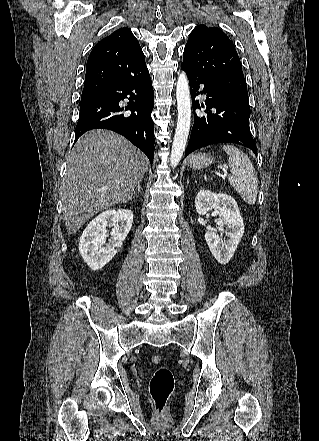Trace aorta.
Here are the masks:
<instances>
[{
    "label": "aorta",
    "instance_id": "762f6f07",
    "mask_svg": "<svg viewBox=\"0 0 319 441\" xmlns=\"http://www.w3.org/2000/svg\"><path fill=\"white\" fill-rule=\"evenodd\" d=\"M176 97L178 105V121L170 156V166L173 168L178 165L185 151L191 122L189 83L187 75L183 71L178 76Z\"/></svg>",
    "mask_w": 319,
    "mask_h": 441
}]
</instances>
